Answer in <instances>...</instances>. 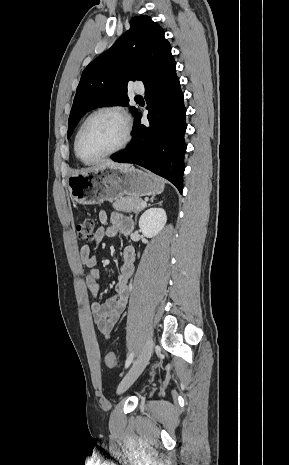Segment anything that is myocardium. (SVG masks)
<instances>
[{"label": "myocardium", "mask_w": 289, "mask_h": 465, "mask_svg": "<svg viewBox=\"0 0 289 465\" xmlns=\"http://www.w3.org/2000/svg\"><path fill=\"white\" fill-rule=\"evenodd\" d=\"M102 114H107V115H112L114 117H117L119 118L122 123H123V126H124V138L122 140V142L114 149L102 154L101 156L97 157V158H94V159H91V160H87L85 158H83L80 154V150H79V144H80V138H81V135H82V132L86 126V124L95 116H98V115H102ZM131 140V125H130V121H129V118L127 117V115L121 111L120 109H117V108H114V107H101V108H98L96 110H94L93 112H91L84 120L83 122L81 123L77 133H76V136H75V140H74V150H75V154L77 156V158L85 163V164H93V163H96L104 158H107V157H110L120 151H122L123 149H125L127 147V145L129 144Z\"/></svg>", "instance_id": "obj_1"}]
</instances>
